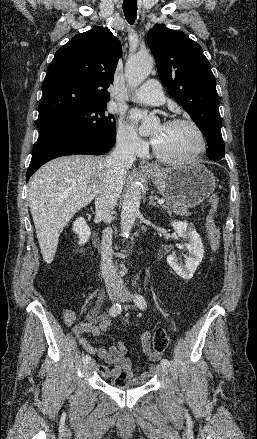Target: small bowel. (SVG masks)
Segmentation results:
<instances>
[{
    "label": "small bowel",
    "instance_id": "small-bowel-1",
    "mask_svg": "<svg viewBox=\"0 0 257 439\" xmlns=\"http://www.w3.org/2000/svg\"><path fill=\"white\" fill-rule=\"evenodd\" d=\"M90 304V303H88ZM64 321L67 325L73 324L76 315L73 311L67 310L63 314ZM111 326L108 318L98 320L93 313L89 314L86 322L76 327L75 333L82 348L89 354L98 356L105 364L113 367L108 370L105 366L98 365L93 360V367L103 372H108L110 377L124 375L128 382L134 385H143L150 380L156 373V365L147 371L136 372L132 360L127 356L128 347L121 341L111 345L109 348L94 346L86 337L90 334L94 337L99 336L102 332L107 331ZM139 344L144 354L152 361L157 362L161 354L152 350L151 333L142 332L139 336Z\"/></svg>",
    "mask_w": 257,
    "mask_h": 439
}]
</instances>
